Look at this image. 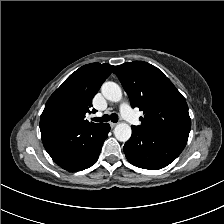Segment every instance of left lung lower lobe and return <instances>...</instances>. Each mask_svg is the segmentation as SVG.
Returning <instances> with one entry per match:
<instances>
[{
	"mask_svg": "<svg viewBox=\"0 0 224 224\" xmlns=\"http://www.w3.org/2000/svg\"><path fill=\"white\" fill-rule=\"evenodd\" d=\"M187 141L160 132L132 126V136L124 145L128 161L140 168L157 170L173 162Z\"/></svg>",
	"mask_w": 224,
	"mask_h": 224,
	"instance_id": "obj_1",
	"label": "left lung lower lobe"
}]
</instances>
